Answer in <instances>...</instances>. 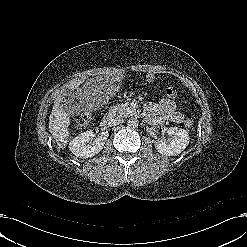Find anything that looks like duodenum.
Here are the masks:
<instances>
[{"instance_id": "obj_1", "label": "duodenum", "mask_w": 247, "mask_h": 247, "mask_svg": "<svg viewBox=\"0 0 247 247\" xmlns=\"http://www.w3.org/2000/svg\"><path fill=\"white\" fill-rule=\"evenodd\" d=\"M112 118H113V117H112L111 115L105 116L104 119H103L102 122H101V126H102V127L107 126V125L112 121Z\"/></svg>"}]
</instances>
